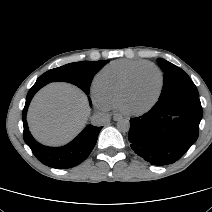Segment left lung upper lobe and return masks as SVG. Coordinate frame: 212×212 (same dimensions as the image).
<instances>
[{
    "label": "left lung upper lobe",
    "instance_id": "left-lung-upper-lobe-1",
    "mask_svg": "<svg viewBox=\"0 0 212 212\" xmlns=\"http://www.w3.org/2000/svg\"><path fill=\"white\" fill-rule=\"evenodd\" d=\"M157 62L164 72V84L159 99L174 94L199 96L196 86L181 68L161 58H158Z\"/></svg>",
    "mask_w": 212,
    "mask_h": 212
}]
</instances>
